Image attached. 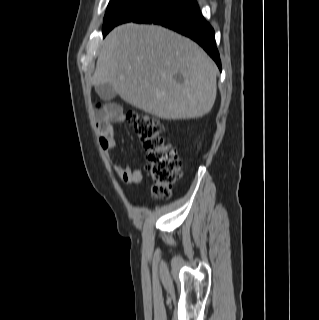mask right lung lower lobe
Wrapping results in <instances>:
<instances>
[{
    "label": "right lung lower lobe",
    "instance_id": "98d812e1",
    "mask_svg": "<svg viewBox=\"0 0 319 320\" xmlns=\"http://www.w3.org/2000/svg\"><path fill=\"white\" fill-rule=\"evenodd\" d=\"M134 22L160 24L193 39L205 49L221 69L214 30L202 16L195 0H177L168 7L139 17ZM108 32L103 33V36Z\"/></svg>",
    "mask_w": 319,
    "mask_h": 320
}]
</instances>
